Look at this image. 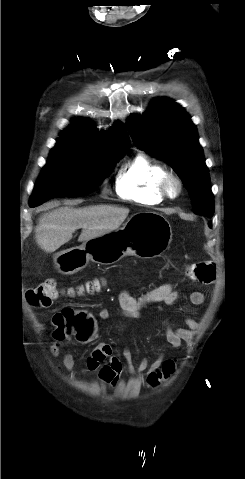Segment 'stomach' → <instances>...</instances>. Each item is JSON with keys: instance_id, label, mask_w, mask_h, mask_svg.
<instances>
[{"instance_id": "1", "label": "stomach", "mask_w": 245, "mask_h": 479, "mask_svg": "<svg viewBox=\"0 0 245 479\" xmlns=\"http://www.w3.org/2000/svg\"><path fill=\"white\" fill-rule=\"evenodd\" d=\"M172 235L171 225L163 215L140 212L132 215L120 229L58 252L54 263L59 272L74 274L89 261L111 265L126 256L155 258L168 247Z\"/></svg>"}]
</instances>
